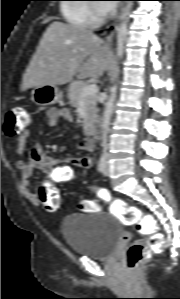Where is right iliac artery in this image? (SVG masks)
<instances>
[{
    "mask_svg": "<svg viewBox=\"0 0 180 299\" xmlns=\"http://www.w3.org/2000/svg\"><path fill=\"white\" fill-rule=\"evenodd\" d=\"M105 165H106V158L105 155H102L98 164L99 172H103L105 170Z\"/></svg>",
    "mask_w": 180,
    "mask_h": 299,
    "instance_id": "82829eb1",
    "label": "right iliac artery"
}]
</instances>
